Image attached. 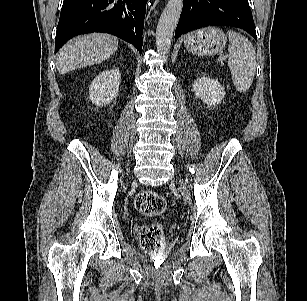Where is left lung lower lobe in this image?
I'll list each match as a JSON object with an SVG mask.
<instances>
[{
	"instance_id": "1",
	"label": "left lung lower lobe",
	"mask_w": 307,
	"mask_h": 301,
	"mask_svg": "<svg viewBox=\"0 0 307 301\" xmlns=\"http://www.w3.org/2000/svg\"><path fill=\"white\" fill-rule=\"evenodd\" d=\"M213 25L241 28L257 39L248 0H183L175 38Z\"/></svg>"
}]
</instances>
